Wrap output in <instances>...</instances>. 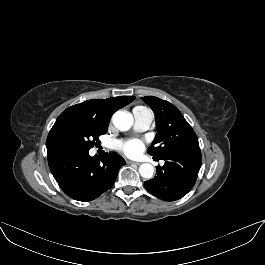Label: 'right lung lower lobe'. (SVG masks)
<instances>
[{
    "label": "right lung lower lobe",
    "mask_w": 265,
    "mask_h": 265,
    "mask_svg": "<svg viewBox=\"0 0 265 265\" xmlns=\"http://www.w3.org/2000/svg\"><path fill=\"white\" fill-rule=\"evenodd\" d=\"M50 170L60 188L71 198L87 202L110 189L125 160L117 153L91 157L88 152L48 155Z\"/></svg>",
    "instance_id": "1"
}]
</instances>
